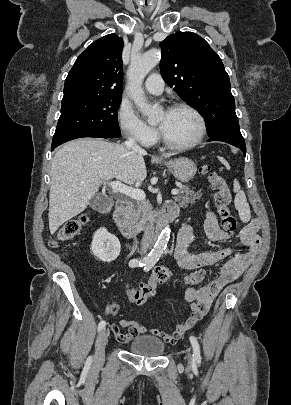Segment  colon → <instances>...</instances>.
I'll return each instance as SVG.
<instances>
[{"label": "colon", "mask_w": 291, "mask_h": 405, "mask_svg": "<svg viewBox=\"0 0 291 405\" xmlns=\"http://www.w3.org/2000/svg\"><path fill=\"white\" fill-rule=\"evenodd\" d=\"M200 173L207 176L215 190L214 202L220 215L222 228L228 233H233L237 227V221L229 210L231 197L225 178L212 171L209 165H203L200 168ZM87 222L88 216L86 214L66 222L59 230L56 239L52 242V246L57 247L59 243L69 241L79 235ZM204 276L205 272L203 270H197L189 274L185 281L187 284L194 286L199 284L204 279ZM172 279L173 272L169 268L157 266L146 282L141 283L136 288H129L127 295L132 303L142 305L155 295L160 285Z\"/></svg>", "instance_id": "1"}]
</instances>
